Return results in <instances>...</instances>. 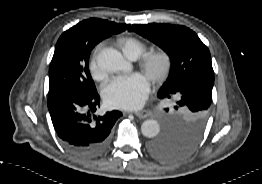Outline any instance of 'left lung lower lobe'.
<instances>
[{
    "label": "left lung lower lobe",
    "mask_w": 262,
    "mask_h": 184,
    "mask_svg": "<svg viewBox=\"0 0 262 184\" xmlns=\"http://www.w3.org/2000/svg\"><path fill=\"white\" fill-rule=\"evenodd\" d=\"M161 144V143H160ZM159 143L153 144L151 146L152 152L156 155V156H169L170 154H172V150L169 148H167L166 146L164 147L162 144L160 145Z\"/></svg>",
    "instance_id": "obj_1"
}]
</instances>
